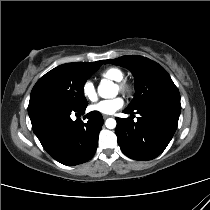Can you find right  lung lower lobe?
Returning a JSON list of instances; mask_svg holds the SVG:
<instances>
[{
    "label": "right lung lower lobe",
    "instance_id": "1",
    "mask_svg": "<svg viewBox=\"0 0 210 210\" xmlns=\"http://www.w3.org/2000/svg\"><path fill=\"white\" fill-rule=\"evenodd\" d=\"M87 106L71 108L50 106L29 114L32 129L43 148L58 162L73 166L90 160L96 152L98 136L103 125L102 115L92 111L72 121V112L84 114Z\"/></svg>",
    "mask_w": 210,
    "mask_h": 210
}]
</instances>
